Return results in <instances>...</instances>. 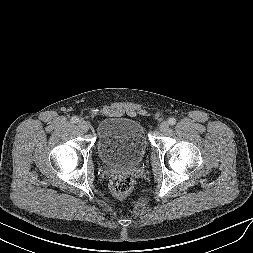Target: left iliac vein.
<instances>
[{"label": "left iliac vein", "instance_id": "4c4485c4", "mask_svg": "<svg viewBox=\"0 0 253 253\" xmlns=\"http://www.w3.org/2000/svg\"><path fill=\"white\" fill-rule=\"evenodd\" d=\"M169 129V123L167 121H163L160 126H159V130L162 132V133H165L167 132Z\"/></svg>", "mask_w": 253, "mask_h": 253}]
</instances>
